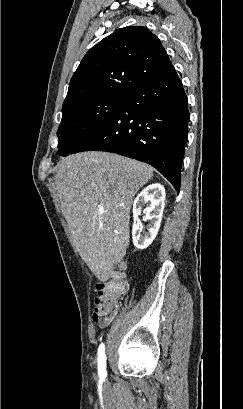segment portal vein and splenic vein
I'll use <instances>...</instances> for the list:
<instances>
[{"label":"portal vein and splenic vein","instance_id":"obj_1","mask_svg":"<svg viewBox=\"0 0 243 409\" xmlns=\"http://www.w3.org/2000/svg\"><path fill=\"white\" fill-rule=\"evenodd\" d=\"M99 212H100V213H103V212H104V208L101 207V208L99 209Z\"/></svg>","mask_w":243,"mask_h":409}]
</instances>
